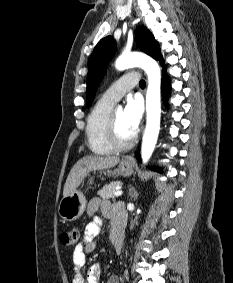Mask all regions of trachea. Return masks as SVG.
Wrapping results in <instances>:
<instances>
[{
	"mask_svg": "<svg viewBox=\"0 0 233 283\" xmlns=\"http://www.w3.org/2000/svg\"><path fill=\"white\" fill-rule=\"evenodd\" d=\"M145 85H146L145 81H144V80H141L140 83H139V86H140L141 88H144Z\"/></svg>",
	"mask_w": 233,
	"mask_h": 283,
	"instance_id": "obj_1",
	"label": "trachea"
}]
</instances>
